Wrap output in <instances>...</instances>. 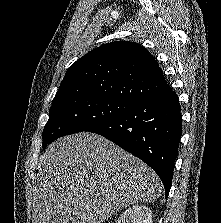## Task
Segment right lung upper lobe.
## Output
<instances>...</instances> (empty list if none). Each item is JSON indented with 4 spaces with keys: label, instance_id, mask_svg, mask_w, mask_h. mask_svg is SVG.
I'll use <instances>...</instances> for the list:
<instances>
[{
    "label": "right lung upper lobe",
    "instance_id": "right-lung-upper-lobe-1",
    "mask_svg": "<svg viewBox=\"0 0 221 223\" xmlns=\"http://www.w3.org/2000/svg\"><path fill=\"white\" fill-rule=\"evenodd\" d=\"M170 89L151 53L138 43L115 41L93 49L71 65L52 103L103 96L134 104Z\"/></svg>",
    "mask_w": 221,
    "mask_h": 223
}]
</instances>
